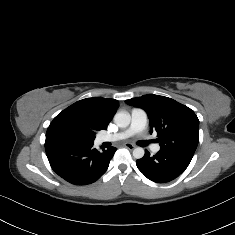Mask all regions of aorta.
<instances>
[{"instance_id": "aorta-1", "label": "aorta", "mask_w": 235, "mask_h": 235, "mask_svg": "<svg viewBox=\"0 0 235 235\" xmlns=\"http://www.w3.org/2000/svg\"><path fill=\"white\" fill-rule=\"evenodd\" d=\"M131 121V116L127 111H120L117 112L114 116V123L121 128H125L129 126ZM145 151L142 147H136L133 150V156L136 159H140L144 156Z\"/></svg>"}]
</instances>
